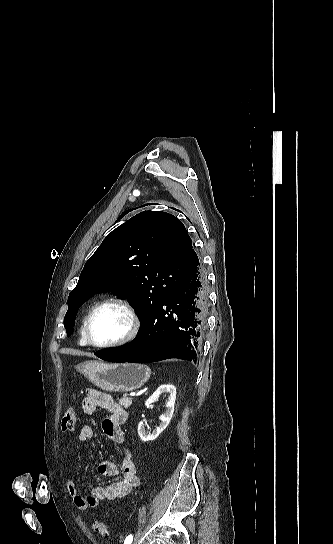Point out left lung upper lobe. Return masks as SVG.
<instances>
[{"instance_id": "5c2ea615", "label": "left lung upper lobe", "mask_w": 333, "mask_h": 544, "mask_svg": "<svg viewBox=\"0 0 333 544\" xmlns=\"http://www.w3.org/2000/svg\"><path fill=\"white\" fill-rule=\"evenodd\" d=\"M200 261L185 226L172 214L144 211L113 230L86 262L64 318L73 332L79 306L96 293L128 296L142 322Z\"/></svg>"}]
</instances>
